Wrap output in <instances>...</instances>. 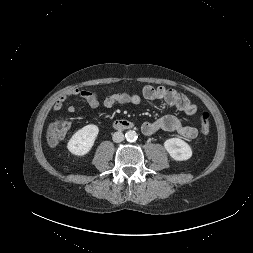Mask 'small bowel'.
<instances>
[{"label":"small bowel","instance_id":"c3829d8e","mask_svg":"<svg viewBox=\"0 0 253 253\" xmlns=\"http://www.w3.org/2000/svg\"><path fill=\"white\" fill-rule=\"evenodd\" d=\"M75 96L83 98L91 108H97L100 105V99L97 93L88 90L72 89L57 99L53 111L58 112L69 98ZM156 100H163L168 106L175 107L186 117H193L197 110L196 106L190 102L184 93L164 86L154 87L151 85L144 86L140 93H112L104 99L103 104L105 107L111 108L117 104L140 105L143 102H154ZM68 112L74 114L76 108L70 106ZM141 129L145 135H153L160 130L176 132L186 140H193L198 135L197 128L182 124L177 117L172 115L163 116L155 121L145 122Z\"/></svg>","mask_w":253,"mask_h":253}]
</instances>
